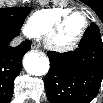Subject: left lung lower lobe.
<instances>
[{
	"mask_svg": "<svg viewBox=\"0 0 103 103\" xmlns=\"http://www.w3.org/2000/svg\"><path fill=\"white\" fill-rule=\"evenodd\" d=\"M47 55L51 65L44 83L51 103H89L97 96L103 80V42L96 24L87 28L75 51Z\"/></svg>",
	"mask_w": 103,
	"mask_h": 103,
	"instance_id": "obj_1",
	"label": "left lung lower lobe"
}]
</instances>
